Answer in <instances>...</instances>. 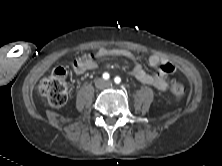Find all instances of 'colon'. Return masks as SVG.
Masks as SVG:
<instances>
[{"label": "colon", "instance_id": "obj_1", "mask_svg": "<svg viewBox=\"0 0 222 166\" xmlns=\"http://www.w3.org/2000/svg\"><path fill=\"white\" fill-rule=\"evenodd\" d=\"M186 91L187 86L183 81L174 79L171 82L170 92L175 98H182L186 94ZM39 92L48 100L50 105L54 107L64 105L68 98L66 69L63 67H57L49 76L42 79L39 83Z\"/></svg>", "mask_w": 222, "mask_h": 166}]
</instances>
